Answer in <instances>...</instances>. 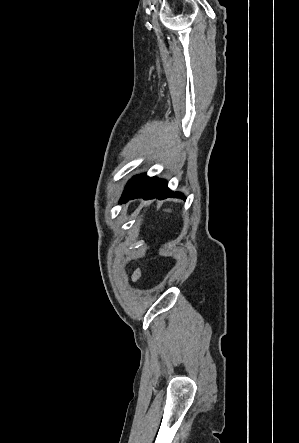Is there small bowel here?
I'll list each match as a JSON object with an SVG mask.
<instances>
[{
  "label": "small bowel",
  "mask_w": 299,
  "mask_h": 443,
  "mask_svg": "<svg viewBox=\"0 0 299 443\" xmlns=\"http://www.w3.org/2000/svg\"><path fill=\"white\" fill-rule=\"evenodd\" d=\"M142 275H143V272L140 268L134 270V272L131 275V281L133 283H137L141 279Z\"/></svg>",
  "instance_id": "small-bowel-1"
}]
</instances>
